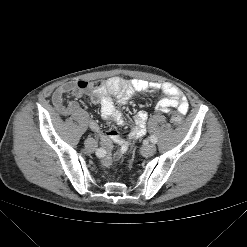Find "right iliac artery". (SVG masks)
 <instances>
[{"label":"right iliac artery","instance_id":"right-iliac-artery-1","mask_svg":"<svg viewBox=\"0 0 247 247\" xmlns=\"http://www.w3.org/2000/svg\"><path fill=\"white\" fill-rule=\"evenodd\" d=\"M96 156H97L99 159H104V158L107 156V150H106L104 147H99V148L96 150Z\"/></svg>","mask_w":247,"mask_h":247}]
</instances>
